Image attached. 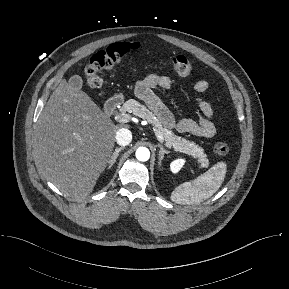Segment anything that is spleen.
Returning a JSON list of instances; mask_svg holds the SVG:
<instances>
[{"instance_id":"obj_1","label":"spleen","mask_w":289,"mask_h":289,"mask_svg":"<svg viewBox=\"0 0 289 289\" xmlns=\"http://www.w3.org/2000/svg\"><path fill=\"white\" fill-rule=\"evenodd\" d=\"M226 172V163L218 162L194 180L176 187L171 194V200L178 204L189 205L208 199L220 188Z\"/></svg>"}]
</instances>
